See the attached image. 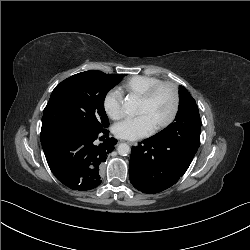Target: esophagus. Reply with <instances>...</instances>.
Listing matches in <instances>:
<instances>
[{"instance_id":"obj_1","label":"esophagus","mask_w":250,"mask_h":250,"mask_svg":"<svg viewBox=\"0 0 250 250\" xmlns=\"http://www.w3.org/2000/svg\"><path fill=\"white\" fill-rule=\"evenodd\" d=\"M128 144L130 145V146H136L137 145V143H134V142H128Z\"/></svg>"}]
</instances>
